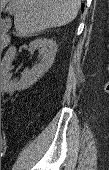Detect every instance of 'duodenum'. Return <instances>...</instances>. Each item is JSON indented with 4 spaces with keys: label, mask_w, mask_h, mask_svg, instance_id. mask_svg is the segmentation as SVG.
I'll list each match as a JSON object with an SVG mask.
<instances>
[{
    "label": "duodenum",
    "mask_w": 109,
    "mask_h": 170,
    "mask_svg": "<svg viewBox=\"0 0 109 170\" xmlns=\"http://www.w3.org/2000/svg\"><path fill=\"white\" fill-rule=\"evenodd\" d=\"M7 44H8V37H5L3 46H6Z\"/></svg>",
    "instance_id": "410a0bca"
}]
</instances>
